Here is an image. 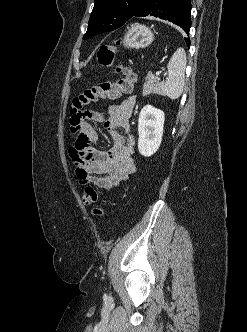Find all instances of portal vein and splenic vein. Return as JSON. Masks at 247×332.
Wrapping results in <instances>:
<instances>
[{
  "instance_id": "1",
  "label": "portal vein and splenic vein",
  "mask_w": 247,
  "mask_h": 332,
  "mask_svg": "<svg viewBox=\"0 0 247 332\" xmlns=\"http://www.w3.org/2000/svg\"><path fill=\"white\" fill-rule=\"evenodd\" d=\"M162 72L161 71H157L156 75L159 76Z\"/></svg>"
}]
</instances>
